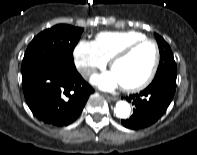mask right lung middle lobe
I'll return each instance as SVG.
<instances>
[{"label": "right lung middle lobe", "mask_w": 197, "mask_h": 155, "mask_svg": "<svg viewBox=\"0 0 197 155\" xmlns=\"http://www.w3.org/2000/svg\"><path fill=\"white\" fill-rule=\"evenodd\" d=\"M83 30V28L59 24L38 34L25 52L22 61V80L47 66L74 65L73 50Z\"/></svg>", "instance_id": "1"}]
</instances>
